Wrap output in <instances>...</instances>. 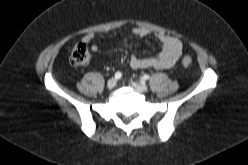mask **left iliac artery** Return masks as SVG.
<instances>
[{"label": "left iliac artery", "instance_id": "obj_1", "mask_svg": "<svg viewBox=\"0 0 248 165\" xmlns=\"http://www.w3.org/2000/svg\"><path fill=\"white\" fill-rule=\"evenodd\" d=\"M140 79H141V81H145V80L150 79V76L148 74H145Z\"/></svg>", "mask_w": 248, "mask_h": 165}]
</instances>
